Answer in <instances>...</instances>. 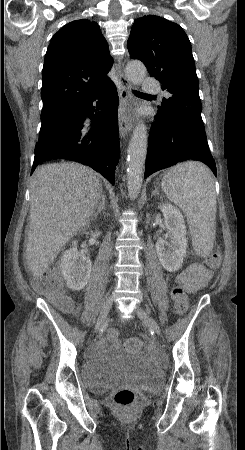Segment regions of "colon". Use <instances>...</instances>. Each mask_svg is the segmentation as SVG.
Returning <instances> with one entry per match:
<instances>
[{
    "mask_svg": "<svg viewBox=\"0 0 245 450\" xmlns=\"http://www.w3.org/2000/svg\"><path fill=\"white\" fill-rule=\"evenodd\" d=\"M205 265L208 268H217L220 264V253L217 250L209 252L205 259ZM36 289L39 293L49 297V299L56 304L62 312L69 313L72 309V301L63 293L60 278L57 274L46 271L36 282ZM170 299L173 302L176 311L183 314L189 305L188 296L184 287L180 284L173 285L170 289ZM109 340L118 347H126L131 351H136L141 348L140 342L132 340L127 342L125 339L118 336L116 331L109 333ZM135 401V393L131 389L122 388L115 392L114 402L117 409L121 413H127Z\"/></svg>",
    "mask_w": 245,
    "mask_h": 450,
    "instance_id": "obj_1",
    "label": "colon"
}]
</instances>
